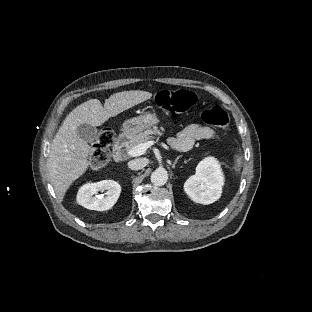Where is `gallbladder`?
<instances>
[{
	"instance_id": "gallbladder-1",
	"label": "gallbladder",
	"mask_w": 312,
	"mask_h": 312,
	"mask_svg": "<svg viewBox=\"0 0 312 312\" xmlns=\"http://www.w3.org/2000/svg\"><path fill=\"white\" fill-rule=\"evenodd\" d=\"M77 135L84 141L91 143L97 138V129L89 124H82L77 128Z\"/></svg>"
}]
</instances>
